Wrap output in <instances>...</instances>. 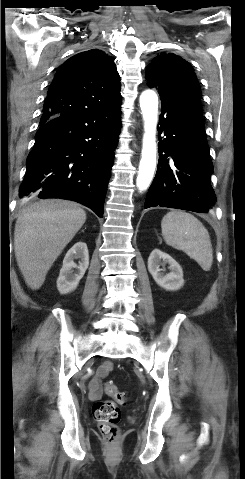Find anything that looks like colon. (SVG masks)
<instances>
[{"mask_svg":"<svg viewBox=\"0 0 245 479\" xmlns=\"http://www.w3.org/2000/svg\"><path fill=\"white\" fill-rule=\"evenodd\" d=\"M105 390L114 397V401H98L93 407V415L104 438L109 443H113L120 433L118 427L120 421L119 405H124L127 402V395L113 383H108Z\"/></svg>","mask_w":245,"mask_h":479,"instance_id":"obj_1","label":"colon"}]
</instances>
